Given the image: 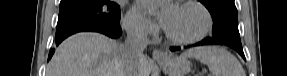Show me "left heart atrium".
Masks as SVG:
<instances>
[{"mask_svg": "<svg viewBox=\"0 0 287 76\" xmlns=\"http://www.w3.org/2000/svg\"><path fill=\"white\" fill-rule=\"evenodd\" d=\"M157 3H158L157 1L143 0L139 2V6L141 9L146 10L150 8L152 5L157 4ZM175 11H176V6H174L173 4L168 3V4H162L160 6V9L158 12V19L164 27L168 25Z\"/></svg>", "mask_w": 287, "mask_h": 76, "instance_id": "obj_1", "label": "left heart atrium"}]
</instances>
